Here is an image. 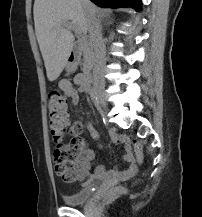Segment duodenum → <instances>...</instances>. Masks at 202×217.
<instances>
[{
  "label": "duodenum",
  "instance_id": "1",
  "mask_svg": "<svg viewBox=\"0 0 202 217\" xmlns=\"http://www.w3.org/2000/svg\"><path fill=\"white\" fill-rule=\"evenodd\" d=\"M80 57H81L80 50L78 49L77 46H73L68 55L69 65L71 67H74L77 64ZM90 85H91L90 79L85 76H82V86L85 91H89Z\"/></svg>",
  "mask_w": 202,
  "mask_h": 217
}]
</instances>
